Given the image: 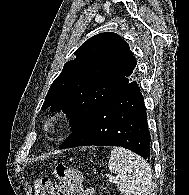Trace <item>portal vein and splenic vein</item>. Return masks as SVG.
<instances>
[{
	"mask_svg": "<svg viewBox=\"0 0 189 195\" xmlns=\"http://www.w3.org/2000/svg\"><path fill=\"white\" fill-rule=\"evenodd\" d=\"M116 180H117V178L114 177V176H110V177H109V181H111V182H112V181H116Z\"/></svg>",
	"mask_w": 189,
	"mask_h": 195,
	"instance_id": "18ae733b",
	"label": "portal vein and splenic vein"
}]
</instances>
